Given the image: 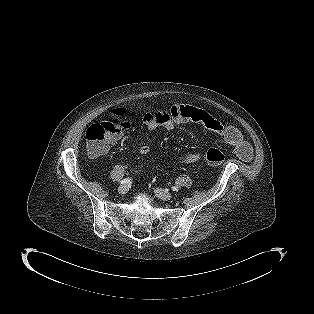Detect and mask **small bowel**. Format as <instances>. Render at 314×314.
<instances>
[{"mask_svg":"<svg viewBox=\"0 0 314 314\" xmlns=\"http://www.w3.org/2000/svg\"><path fill=\"white\" fill-rule=\"evenodd\" d=\"M193 122L201 125L206 130L219 136L229 146L233 147L236 154L245 162L253 158V152L250 144L244 140L242 133L238 128L232 125L222 123L204 109L174 104L165 108L154 110L144 117V125L149 129H155L162 125L166 131L174 129L176 124ZM122 134L116 136L111 144L117 142ZM151 150L150 145L143 144L138 148L142 155L148 154ZM201 154L198 152L188 153L182 158V162L189 164L201 160Z\"/></svg>","mask_w":314,"mask_h":314,"instance_id":"c3829d8e","label":"small bowel"}]
</instances>
